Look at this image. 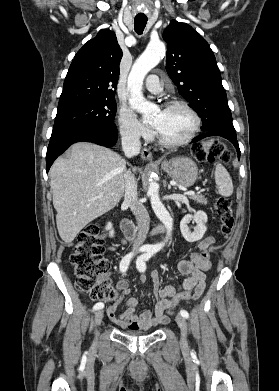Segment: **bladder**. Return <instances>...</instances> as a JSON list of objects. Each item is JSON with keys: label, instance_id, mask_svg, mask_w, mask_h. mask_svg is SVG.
Wrapping results in <instances>:
<instances>
[{"label": "bladder", "instance_id": "obj_1", "mask_svg": "<svg viewBox=\"0 0 279 391\" xmlns=\"http://www.w3.org/2000/svg\"><path fill=\"white\" fill-rule=\"evenodd\" d=\"M123 334L129 337H140L143 336V333H139L133 330L123 331Z\"/></svg>", "mask_w": 279, "mask_h": 391}]
</instances>
